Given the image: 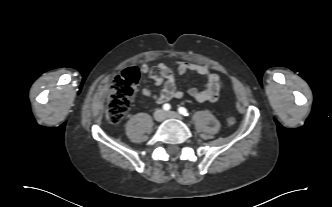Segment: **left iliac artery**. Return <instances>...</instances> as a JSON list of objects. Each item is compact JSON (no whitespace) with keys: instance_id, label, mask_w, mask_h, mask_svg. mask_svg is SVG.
<instances>
[{"instance_id":"44dca946","label":"left iliac artery","mask_w":332,"mask_h":207,"mask_svg":"<svg viewBox=\"0 0 332 207\" xmlns=\"http://www.w3.org/2000/svg\"><path fill=\"white\" fill-rule=\"evenodd\" d=\"M178 112H179L181 115L188 116V111H187V109L184 108V107H179V108H178Z\"/></svg>"}]
</instances>
